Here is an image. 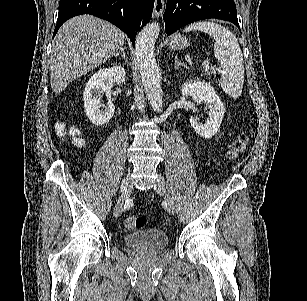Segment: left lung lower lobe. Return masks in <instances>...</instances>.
I'll use <instances>...</instances> for the list:
<instances>
[{
	"label": "left lung lower lobe",
	"instance_id": "1",
	"mask_svg": "<svg viewBox=\"0 0 307 301\" xmlns=\"http://www.w3.org/2000/svg\"><path fill=\"white\" fill-rule=\"evenodd\" d=\"M163 17L167 35L194 21L210 18L230 21L240 29L233 0H167Z\"/></svg>",
	"mask_w": 307,
	"mask_h": 301
}]
</instances>
